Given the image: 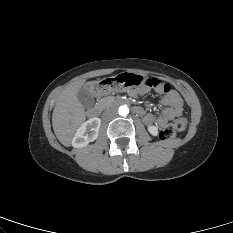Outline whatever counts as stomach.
Returning a JSON list of instances; mask_svg holds the SVG:
<instances>
[{"mask_svg": "<svg viewBox=\"0 0 233 233\" xmlns=\"http://www.w3.org/2000/svg\"><path fill=\"white\" fill-rule=\"evenodd\" d=\"M145 77L141 74L126 72L122 74L109 75L104 82H94L95 93L97 96L107 95L111 92L131 90L145 82Z\"/></svg>", "mask_w": 233, "mask_h": 233, "instance_id": "stomach-1", "label": "stomach"}]
</instances>
